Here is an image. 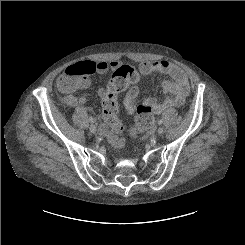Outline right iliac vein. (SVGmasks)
Wrapping results in <instances>:
<instances>
[{"label":"right iliac vein","instance_id":"63e3f726","mask_svg":"<svg viewBox=\"0 0 245 245\" xmlns=\"http://www.w3.org/2000/svg\"><path fill=\"white\" fill-rule=\"evenodd\" d=\"M96 131H97L96 126H95V125H91V126H90V132L93 133V134H95Z\"/></svg>","mask_w":245,"mask_h":245}]
</instances>
